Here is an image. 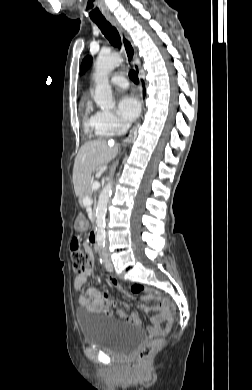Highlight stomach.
Listing matches in <instances>:
<instances>
[{"label":"stomach","mask_w":252,"mask_h":390,"mask_svg":"<svg viewBox=\"0 0 252 390\" xmlns=\"http://www.w3.org/2000/svg\"><path fill=\"white\" fill-rule=\"evenodd\" d=\"M84 227H85L84 218L83 217H79L78 221H77V224H76V229L80 231V230H83Z\"/></svg>","instance_id":"1"}]
</instances>
